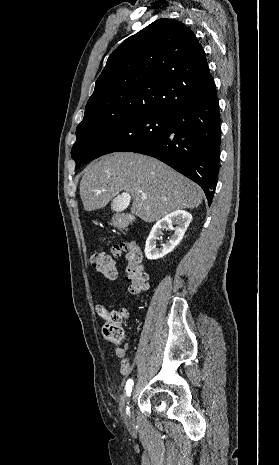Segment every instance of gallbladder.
<instances>
[{
  "label": "gallbladder",
  "mask_w": 279,
  "mask_h": 465,
  "mask_svg": "<svg viewBox=\"0 0 279 465\" xmlns=\"http://www.w3.org/2000/svg\"><path fill=\"white\" fill-rule=\"evenodd\" d=\"M127 205L128 201L126 199L123 200L121 197L119 199H115L114 201V208L116 211H123L127 207Z\"/></svg>",
  "instance_id": "bac80fb5"
}]
</instances>
